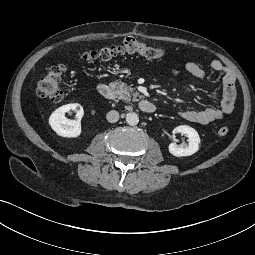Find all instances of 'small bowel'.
<instances>
[{
	"mask_svg": "<svg viewBox=\"0 0 255 255\" xmlns=\"http://www.w3.org/2000/svg\"><path fill=\"white\" fill-rule=\"evenodd\" d=\"M210 66L214 71L220 72L223 75V94L220 106L208 107L202 110L180 111V117L187 121L205 125L222 119L224 116L231 114L234 110L236 99L235 74L219 60H213ZM183 71L188 72L200 80H205L207 77L206 71L194 61L187 62L183 68L172 69V73L175 75Z\"/></svg>",
	"mask_w": 255,
	"mask_h": 255,
	"instance_id": "1",
	"label": "small bowel"
}]
</instances>
